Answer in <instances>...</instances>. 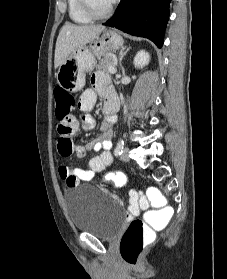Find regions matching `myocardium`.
<instances>
[{"instance_id":"obj_1","label":"myocardium","mask_w":227,"mask_h":279,"mask_svg":"<svg viewBox=\"0 0 227 279\" xmlns=\"http://www.w3.org/2000/svg\"><path fill=\"white\" fill-rule=\"evenodd\" d=\"M81 9L83 10V12L91 19L94 20H100V19H105L107 17H109L113 11L114 5H115V1H112L111 5L109 6V8L107 9V11H105L104 13H97L91 6L90 1L89 0H78Z\"/></svg>"}]
</instances>
